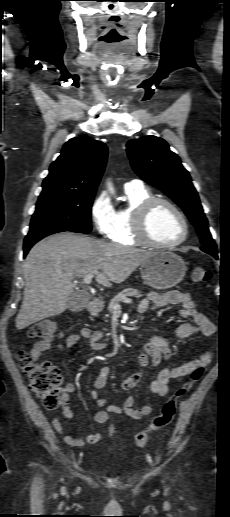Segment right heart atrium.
I'll use <instances>...</instances> for the list:
<instances>
[{"mask_svg":"<svg viewBox=\"0 0 230 517\" xmlns=\"http://www.w3.org/2000/svg\"><path fill=\"white\" fill-rule=\"evenodd\" d=\"M90 214L96 231L103 237H110L115 226L116 211L106 194H99L93 200Z\"/></svg>","mask_w":230,"mask_h":517,"instance_id":"d8ad5b80","label":"right heart atrium"}]
</instances>
